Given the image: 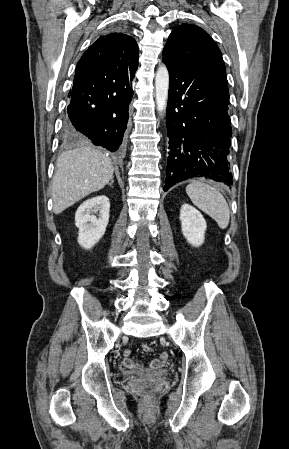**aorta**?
Here are the masks:
<instances>
[{
	"instance_id": "obj_1",
	"label": "aorta",
	"mask_w": 289,
	"mask_h": 449,
	"mask_svg": "<svg viewBox=\"0 0 289 449\" xmlns=\"http://www.w3.org/2000/svg\"><path fill=\"white\" fill-rule=\"evenodd\" d=\"M169 90V72L164 64L157 69L155 76V95L157 111L160 115L166 110Z\"/></svg>"
}]
</instances>
